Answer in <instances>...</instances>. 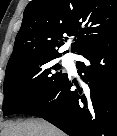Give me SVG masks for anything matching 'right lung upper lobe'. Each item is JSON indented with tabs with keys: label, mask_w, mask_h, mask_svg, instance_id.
Masks as SVG:
<instances>
[{
	"label": "right lung upper lobe",
	"mask_w": 117,
	"mask_h": 136,
	"mask_svg": "<svg viewBox=\"0 0 117 136\" xmlns=\"http://www.w3.org/2000/svg\"><path fill=\"white\" fill-rule=\"evenodd\" d=\"M116 31L117 0H32L8 64L31 56H61L57 49L71 35L76 37L71 50L80 54Z\"/></svg>",
	"instance_id": "cb5924a9"
}]
</instances>
